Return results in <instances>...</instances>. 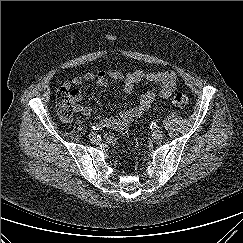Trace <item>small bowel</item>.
<instances>
[{
	"label": "small bowel",
	"instance_id": "small-bowel-1",
	"mask_svg": "<svg viewBox=\"0 0 243 243\" xmlns=\"http://www.w3.org/2000/svg\"><path fill=\"white\" fill-rule=\"evenodd\" d=\"M109 80L120 81L123 83L124 91L127 94L133 92L135 86L143 80H147L161 86L159 92L156 94L153 91H146L141 94L139 101L118 113L115 116H108L103 119L102 125L114 130H120L126 127L129 123L137 119L143 112L147 111L157 95L161 98L170 97L176 90L177 75L173 71L149 72L143 69H137L133 72L122 73L116 69H109L107 71L86 72L83 75L75 76L69 81L65 82L66 88L72 86H80L84 82L95 81L99 86L105 87L108 85ZM77 101L81 99V94L73 91ZM77 111L84 116L92 114V108L89 106L77 105ZM112 141V137H108Z\"/></svg>",
	"mask_w": 243,
	"mask_h": 243
}]
</instances>
